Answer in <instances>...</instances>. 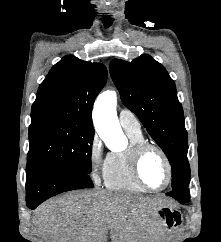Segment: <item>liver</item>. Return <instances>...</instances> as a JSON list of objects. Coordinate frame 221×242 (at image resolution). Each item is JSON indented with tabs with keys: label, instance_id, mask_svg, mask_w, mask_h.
Instances as JSON below:
<instances>
[{
	"label": "liver",
	"instance_id": "6515ba94",
	"mask_svg": "<svg viewBox=\"0 0 221 242\" xmlns=\"http://www.w3.org/2000/svg\"><path fill=\"white\" fill-rule=\"evenodd\" d=\"M167 201L125 192L73 191L35 211L32 224L45 242H156L157 208Z\"/></svg>",
	"mask_w": 221,
	"mask_h": 242
}]
</instances>
